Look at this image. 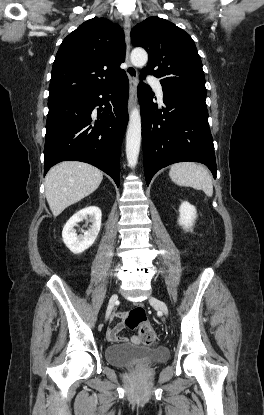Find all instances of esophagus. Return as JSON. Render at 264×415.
Masks as SVG:
<instances>
[{
    "instance_id": "1",
    "label": "esophagus",
    "mask_w": 264,
    "mask_h": 415,
    "mask_svg": "<svg viewBox=\"0 0 264 415\" xmlns=\"http://www.w3.org/2000/svg\"><path fill=\"white\" fill-rule=\"evenodd\" d=\"M130 30H131V21L128 17L125 18L124 22V33H125V42H126V63L127 69L126 73L129 79V100H128V109L130 110L134 103L136 102L137 95V84H138V71L130 62Z\"/></svg>"
}]
</instances>
